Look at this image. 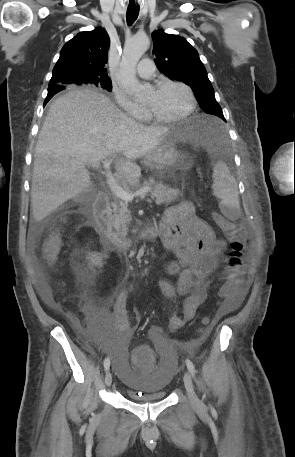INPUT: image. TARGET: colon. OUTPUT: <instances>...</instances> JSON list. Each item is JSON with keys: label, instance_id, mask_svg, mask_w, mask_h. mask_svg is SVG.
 Returning <instances> with one entry per match:
<instances>
[{"label": "colon", "instance_id": "5ec220e1", "mask_svg": "<svg viewBox=\"0 0 295 457\" xmlns=\"http://www.w3.org/2000/svg\"><path fill=\"white\" fill-rule=\"evenodd\" d=\"M214 219L222 229L230 245V251L226 258V265L223 271V278L226 283L221 289V296L231 301L238 293L241 286V279L244 273V257L249 247V240L244 234V227L239 222H232L220 214H215ZM60 249V237L58 234L51 235L44 244L45 258L55 262ZM153 346H133L131 352L132 372H154L155 360L153 357Z\"/></svg>", "mask_w": 295, "mask_h": 457}]
</instances>
